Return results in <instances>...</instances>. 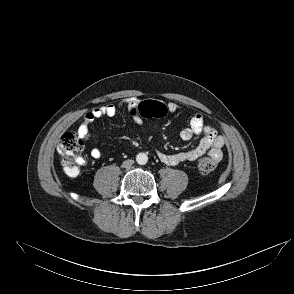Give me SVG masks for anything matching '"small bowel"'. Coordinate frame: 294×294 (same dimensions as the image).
I'll return each instance as SVG.
<instances>
[{
    "label": "small bowel",
    "mask_w": 294,
    "mask_h": 294,
    "mask_svg": "<svg viewBox=\"0 0 294 294\" xmlns=\"http://www.w3.org/2000/svg\"><path fill=\"white\" fill-rule=\"evenodd\" d=\"M139 103L136 98H128L123 100L120 104H107L100 107H96L85 114L82 123L77 129V134L84 141L90 139V125L101 117H113L118 110L122 107L131 108ZM167 109V112L174 113L178 109V105L175 102L163 103ZM201 135L202 138L199 144L188 150L173 154H168L163 151H157V157L161 162L169 166H175L179 163L186 161H195L205 154L213 157L216 161H220L223 157V147L225 140L223 136L218 135L217 131L209 124L204 122L203 116L200 113H196L190 119L188 127L184 128L180 132V137L183 140H190L192 137ZM90 155L94 159H102L103 153L97 149L92 148Z\"/></svg>",
    "instance_id": "small-bowel-1"
}]
</instances>
